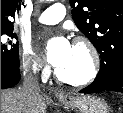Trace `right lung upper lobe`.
I'll return each instance as SVG.
<instances>
[{
  "mask_svg": "<svg viewBox=\"0 0 123 113\" xmlns=\"http://www.w3.org/2000/svg\"><path fill=\"white\" fill-rule=\"evenodd\" d=\"M21 0H1V29L13 28L11 18L21 10Z\"/></svg>",
  "mask_w": 123,
  "mask_h": 113,
  "instance_id": "right-lung-upper-lobe-1",
  "label": "right lung upper lobe"
}]
</instances>
